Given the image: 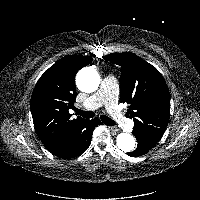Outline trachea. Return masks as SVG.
<instances>
[{
    "instance_id": "3493384b",
    "label": "trachea",
    "mask_w": 200,
    "mask_h": 200,
    "mask_svg": "<svg viewBox=\"0 0 200 200\" xmlns=\"http://www.w3.org/2000/svg\"><path fill=\"white\" fill-rule=\"evenodd\" d=\"M75 112H76L77 115H80V116L87 118V119L94 117V113L91 112V111H83V110L75 108ZM100 118H101L102 122L104 124L108 125V126L115 125V122L105 115H101Z\"/></svg>"
}]
</instances>
